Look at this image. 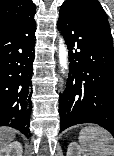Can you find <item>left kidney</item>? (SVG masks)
I'll list each match as a JSON object with an SVG mask.
<instances>
[{
  "instance_id": "obj_1",
  "label": "left kidney",
  "mask_w": 114,
  "mask_h": 156,
  "mask_svg": "<svg viewBox=\"0 0 114 156\" xmlns=\"http://www.w3.org/2000/svg\"><path fill=\"white\" fill-rule=\"evenodd\" d=\"M66 156H86L81 147L75 141H72L67 149Z\"/></svg>"
}]
</instances>
